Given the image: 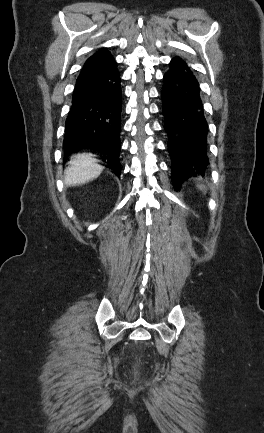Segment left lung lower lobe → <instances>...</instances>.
<instances>
[{"instance_id": "left-lung-lower-lobe-1", "label": "left lung lower lobe", "mask_w": 264, "mask_h": 433, "mask_svg": "<svg viewBox=\"0 0 264 433\" xmlns=\"http://www.w3.org/2000/svg\"><path fill=\"white\" fill-rule=\"evenodd\" d=\"M161 92L174 187L205 172L208 125L199 83L187 64L175 57L164 75Z\"/></svg>"}]
</instances>
